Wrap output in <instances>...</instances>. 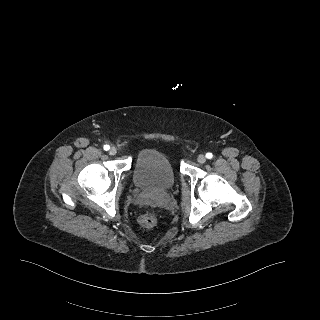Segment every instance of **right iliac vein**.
<instances>
[{
    "label": "right iliac vein",
    "mask_w": 320,
    "mask_h": 320,
    "mask_svg": "<svg viewBox=\"0 0 320 320\" xmlns=\"http://www.w3.org/2000/svg\"><path fill=\"white\" fill-rule=\"evenodd\" d=\"M117 153V149L115 147H112L109 151L110 155H115Z\"/></svg>",
    "instance_id": "obj_1"
}]
</instances>
